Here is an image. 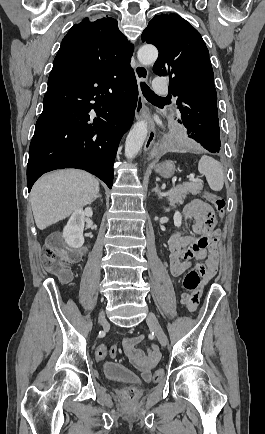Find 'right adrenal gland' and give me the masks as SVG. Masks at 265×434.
Returning <instances> with one entry per match:
<instances>
[{
    "instance_id": "2a0ac1e0",
    "label": "right adrenal gland",
    "mask_w": 265,
    "mask_h": 434,
    "mask_svg": "<svg viewBox=\"0 0 265 434\" xmlns=\"http://www.w3.org/2000/svg\"><path fill=\"white\" fill-rule=\"evenodd\" d=\"M97 198H102L101 194H97V196H94V200H97Z\"/></svg>"
}]
</instances>
